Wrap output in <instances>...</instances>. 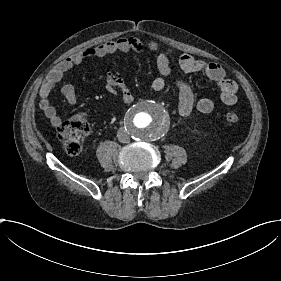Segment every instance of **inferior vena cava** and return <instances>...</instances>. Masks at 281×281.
Masks as SVG:
<instances>
[{"mask_svg": "<svg viewBox=\"0 0 281 281\" xmlns=\"http://www.w3.org/2000/svg\"><path fill=\"white\" fill-rule=\"evenodd\" d=\"M117 138H118L119 142H121V143H129L130 142V137L127 134V132L125 131L124 128H120L118 130Z\"/></svg>", "mask_w": 281, "mask_h": 281, "instance_id": "obj_1", "label": "inferior vena cava"}]
</instances>
